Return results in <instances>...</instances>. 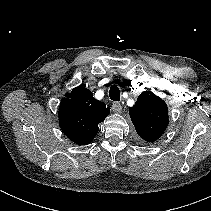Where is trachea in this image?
Here are the masks:
<instances>
[{"label":"trachea","mask_w":211,"mask_h":211,"mask_svg":"<svg viewBox=\"0 0 211 211\" xmlns=\"http://www.w3.org/2000/svg\"><path fill=\"white\" fill-rule=\"evenodd\" d=\"M109 97L113 101L120 100V90L116 85L111 86V88L109 90Z\"/></svg>","instance_id":"trachea-1"}]
</instances>
